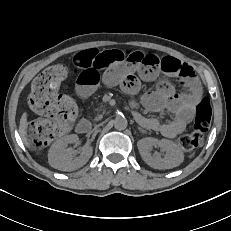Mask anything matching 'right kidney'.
Listing matches in <instances>:
<instances>
[{
  "label": "right kidney",
  "instance_id": "obj_1",
  "mask_svg": "<svg viewBox=\"0 0 231 231\" xmlns=\"http://www.w3.org/2000/svg\"><path fill=\"white\" fill-rule=\"evenodd\" d=\"M78 140L76 134H71L55 141L48 152L50 166L62 171H73L86 164L93 153L91 146H84L78 157H74L72 148H67L68 144L76 143Z\"/></svg>",
  "mask_w": 231,
  "mask_h": 231
}]
</instances>
